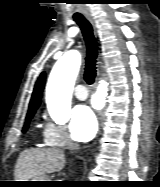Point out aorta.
<instances>
[{"instance_id": "obj_1", "label": "aorta", "mask_w": 160, "mask_h": 187, "mask_svg": "<svg viewBox=\"0 0 160 187\" xmlns=\"http://www.w3.org/2000/svg\"><path fill=\"white\" fill-rule=\"evenodd\" d=\"M81 65L77 51L65 53L54 65L46 87V104L52 118L61 121L66 118L71 107V98L75 80ZM108 83L104 80L92 98L95 109H102L106 102Z\"/></svg>"}]
</instances>
